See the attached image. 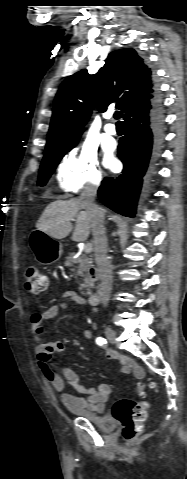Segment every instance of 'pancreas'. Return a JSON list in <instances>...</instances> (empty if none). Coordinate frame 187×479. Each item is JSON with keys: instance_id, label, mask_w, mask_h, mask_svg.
Wrapping results in <instances>:
<instances>
[{"instance_id": "1", "label": "pancreas", "mask_w": 187, "mask_h": 479, "mask_svg": "<svg viewBox=\"0 0 187 479\" xmlns=\"http://www.w3.org/2000/svg\"><path fill=\"white\" fill-rule=\"evenodd\" d=\"M75 253L70 252L69 256L66 258L65 265L73 266L77 264L76 267L72 269L75 275L81 276L83 278V283L80 284V290L85 289L88 293L90 286L93 284V279L89 276V271L91 269V259L86 255H81L77 258H74Z\"/></svg>"}]
</instances>
